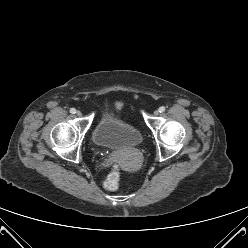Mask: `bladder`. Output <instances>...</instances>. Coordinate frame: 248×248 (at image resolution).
<instances>
[{
  "label": "bladder",
  "instance_id": "obj_1",
  "mask_svg": "<svg viewBox=\"0 0 248 248\" xmlns=\"http://www.w3.org/2000/svg\"><path fill=\"white\" fill-rule=\"evenodd\" d=\"M92 140L95 145L100 147L126 149L141 145L143 135L135 126L116 117L107 116L102 118L94 127Z\"/></svg>",
  "mask_w": 248,
  "mask_h": 248
}]
</instances>
